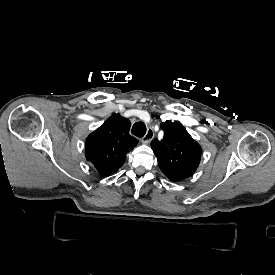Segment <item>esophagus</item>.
I'll list each match as a JSON object with an SVG mask.
<instances>
[{
    "instance_id": "obj_1",
    "label": "esophagus",
    "mask_w": 275,
    "mask_h": 275,
    "mask_svg": "<svg viewBox=\"0 0 275 275\" xmlns=\"http://www.w3.org/2000/svg\"><path fill=\"white\" fill-rule=\"evenodd\" d=\"M154 138V130L152 127L148 128L145 136L142 138V143L147 144Z\"/></svg>"
}]
</instances>
